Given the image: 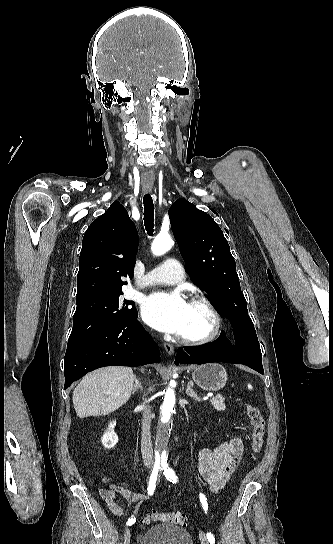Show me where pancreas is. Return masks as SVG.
<instances>
[{"label":"pancreas","mask_w":333,"mask_h":544,"mask_svg":"<svg viewBox=\"0 0 333 544\" xmlns=\"http://www.w3.org/2000/svg\"><path fill=\"white\" fill-rule=\"evenodd\" d=\"M224 400H225L224 397L218 394L216 397H213L212 399H210V402L214 409L218 411H223L226 409Z\"/></svg>","instance_id":"pancreas-1"}]
</instances>
